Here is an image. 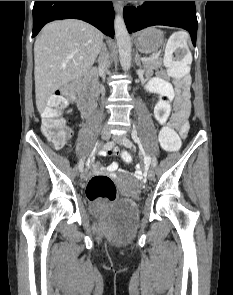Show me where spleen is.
Segmentation results:
<instances>
[{"instance_id":"obj_1","label":"spleen","mask_w":233,"mask_h":295,"mask_svg":"<svg viewBox=\"0 0 233 295\" xmlns=\"http://www.w3.org/2000/svg\"><path fill=\"white\" fill-rule=\"evenodd\" d=\"M177 48H184L187 50L186 56L181 62H173L172 54ZM165 59L168 61L170 67L182 66L186 67L192 61V56L187 48V35L184 32H176L169 38L166 49Z\"/></svg>"}]
</instances>
